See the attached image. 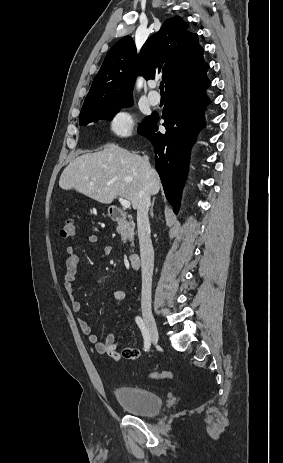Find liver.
Masks as SVG:
<instances>
[{
	"instance_id": "obj_1",
	"label": "liver",
	"mask_w": 283,
	"mask_h": 463,
	"mask_svg": "<svg viewBox=\"0 0 283 463\" xmlns=\"http://www.w3.org/2000/svg\"><path fill=\"white\" fill-rule=\"evenodd\" d=\"M59 186L103 204H110L120 196L137 209L141 190L148 188L151 195H156L161 181L143 157L111 143L102 151L83 154L71 161L60 176Z\"/></svg>"
}]
</instances>
